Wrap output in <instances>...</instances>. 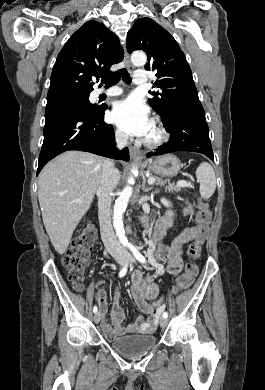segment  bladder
I'll use <instances>...</instances> for the list:
<instances>
[{"label":"bladder","mask_w":265,"mask_h":390,"mask_svg":"<svg viewBox=\"0 0 265 390\" xmlns=\"http://www.w3.org/2000/svg\"><path fill=\"white\" fill-rule=\"evenodd\" d=\"M110 346L127 358H136L150 352L157 344L154 335H117L109 339Z\"/></svg>","instance_id":"bladder-1"}]
</instances>
